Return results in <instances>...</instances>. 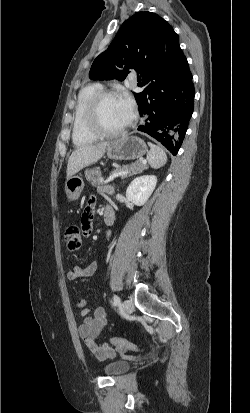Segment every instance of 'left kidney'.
<instances>
[{"label": "left kidney", "instance_id": "5707ae66", "mask_svg": "<svg viewBox=\"0 0 250 413\" xmlns=\"http://www.w3.org/2000/svg\"><path fill=\"white\" fill-rule=\"evenodd\" d=\"M157 184V177L154 175H143L135 178L126 190V197L137 206L144 205Z\"/></svg>", "mask_w": 250, "mask_h": 413}]
</instances>
